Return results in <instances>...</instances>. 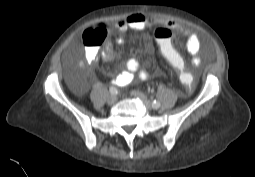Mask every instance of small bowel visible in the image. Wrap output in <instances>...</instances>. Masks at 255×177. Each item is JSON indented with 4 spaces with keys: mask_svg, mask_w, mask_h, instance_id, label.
I'll use <instances>...</instances> for the list:
<instances>
[{
    "mask_svg": "<svg viewBox=\"0 0 255 177\" xmlns=\"http://www.w3.org/2000/svg\"><path fill=\"white\" fill-rule=\"evenodd\" d=\"M158 25L178 31L186 39V50L192 57L193 64L195 66L198 65L201 47L198 36L189 27L180 25L171 20L156 18L143 14H131L116 23V28L121 33L117 36L116 43L123 44L125 42L124 32L127 30L142 31ZM147 48L153 49V45L149 44ZM98 56L99 52L96 48H88L86 52V59L88 62L94 63ZM102 57L107 61H111L115 57V51L110 41L106 43L102 52ZM80 65L83 66V63H80ZM148 77V72L141 68L139 60L136 58H129L126 61L125 69L115 76L114 83L117 86H126L134 81H145L148 79Z\"/></svg>",
    "mask_w": 255,
    "mask_h": 177,
    "instance_id": "1",
    "label": "small bowel"
}]
</instances>
